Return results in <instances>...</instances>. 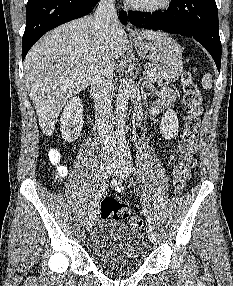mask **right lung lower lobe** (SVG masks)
I'll return each mask as SVG.
<instances>
[{
  "instance_id": "1",
  "label": "right lung lower lobe",
  "mask_w": 233,
  "mask_h": 286,
  "mask_svg": "<svg viewBox=\"0 0 233 286\" xmlns=\"http://www.w3.org/2000/svg\"><path fill=\"white\" fill-rule=\"evenodd\" d=\"M99 0H28L26 28L22 39V60L33 44L47 31L89 14ZM120 21H127L120 12Z\"/></svg>"
}]
</instances>
